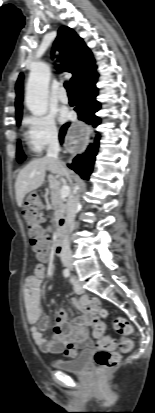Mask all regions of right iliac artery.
I'll list each match as a JSON object with an SVG mask.
<instances>
[{
	"label": "right iliac artery",
	"mask_w": 155,
	"mask_h": 413,
	"mask_svg": "<svg viewBox=\"0 0 155 413\" xmlns=\"http://www.w3.org/2000/svg\"><path fill=\"white\" fill-rule=\"evenodd\" d=\"M63 275L65 276V277H69V275H70V272H69V270H64L63 271Z\"/></svg>",
	"instance_id": "82829eb1"
}]
</instances>
